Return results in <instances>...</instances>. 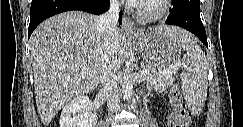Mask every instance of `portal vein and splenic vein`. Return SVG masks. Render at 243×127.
<instances>
[{
    "label": "portal vein and splenic vein",
    "mask_w": 243,
    "mask_h": 127,
    "mask_svg": "<svg viewBox=\"0 0 243 127\" xmlns=\"http://www.w3.org/2000/svg\"><path fill=\"white\" fill-rule=\"evenodd\" d=\"M174 70H176L175 66L171 67V69L168 70H164L162 73L170 75ZM141 73L143 75H146L148 73V70L146 68H143V70L141 71Z\"/></svg>",
    "instance_id": "obj_1"
}]
</instances>
